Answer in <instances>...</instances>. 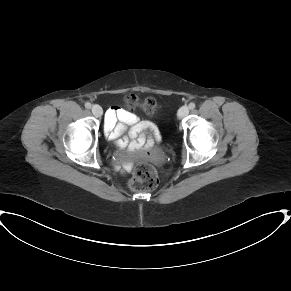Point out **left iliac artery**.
Returning a JSON list of instances; mask_svg holds the SVG:
<instances>
[{
  "label": "left iliac artery",
  "mask_w": 291,
  "mask_h": 291,
  "mask_svg": "<svg viewBox=\"0 0 291 291\" xmlns=\"http://www.w3.org/2000/svg\"><path fill=\"white\" fill-rule=\"evenodd\" d=\"M196 107V104L194 102L189 103V108L192 110Z\"/></svg>",
  "instance_id": "1"
}]
</instances>
